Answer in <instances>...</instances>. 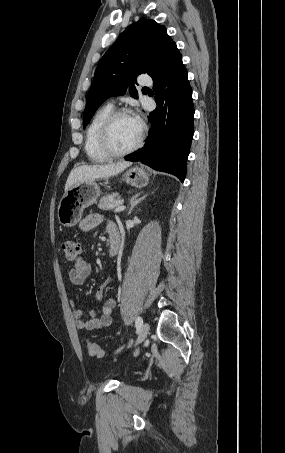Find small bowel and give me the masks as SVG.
<instances>
[{
    "label": "small bowel",
    "instance_id": "1",
    "mask_svg": "<svg viewBox=\"0 0 285 453\" xmlns=\"http://www.w3.org/2000/svg\"><path fill=\"white\" fill-rule=\"evenodd\" d=\"M103 221V216L100 214H91L85 217L80 223V229L82 231H90L97 227ZM109 240L119 239L120 234L117 227L113 223H109L107 226ZM92 272L91 264L80 255L76 259L69 270L70 281L75 285H80L90 276ZM111 282V278L108 277L98 288L95 294V301L98 302L102 299L106 286ZM72 315L75 319V324L79 329L94 330L103 327H107L112 323V311L116 305V301L113 298H108L100 308V314L96 311H90L88 314L79 309L74 299L70 300Z\"/></svg>",
    "mask_w": 285,
    "mask_h": 453
}]
</instances>
